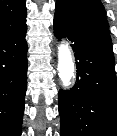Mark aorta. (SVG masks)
Masks as SVG:
<instances>
[{"mask_svg": "<svg viewBox=\"0 0 117 136\" xmlns=\"http://www.w3.org/2000/svg\"><path fill=\"white\" fill-rule=\"evenodd\" d=\"M58 75L63 87H69L71 80L75 77V63L72 58L69 43L61 40L58 45Z\"/></svg>", "mask_w": 117, "mask_h": 136, "instance_id": "aorta-1", "label": "aorta"}]
</instances>
